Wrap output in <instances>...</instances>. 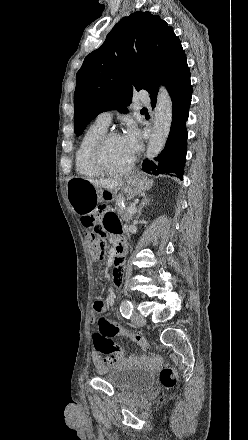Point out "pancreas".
I'll return each instance as SVG.
<instances>
[{
	"mask_svg": "<svg viewBox=\"0 0 248 440\" xmlns=\"http://www.w3.org/2000/svg\"><path fill=\"white\" fill-rule=\"evenodd\" d=\"M123 198L118 197L115 201H116V208L118 211V214L121 216V218L126 221V222H130V220L133 219V214L128 212V208L125 207H121L120 206V202L122 201Z\"/></svg>",
	"mask_w": 248,
	"mask_h": 440,
	"instance_id": "1",
	"label": "pancreas"
}]
</instances>
